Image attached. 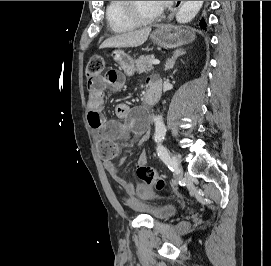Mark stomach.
Wrapping results in <instances>:
<instances>
[{"mask_svg":"<svg viewBox=\"0 0 271 266\" xmlns=\"http://www.w3.org/2000/svg\"><path fill=\"white\" fill-rule=\"evenodd\" d=\"M151 39L154 43L164 48H175L194 41L195 34L190 28H171L170 26H164L155 30L151 34ZM111 56L126 73L133 72L134 60L124 51L115 50Z\"/></svg>","mask_w":271,"mask_h":266,"instance_id":"1","label":"stomach"}]
</instances>
